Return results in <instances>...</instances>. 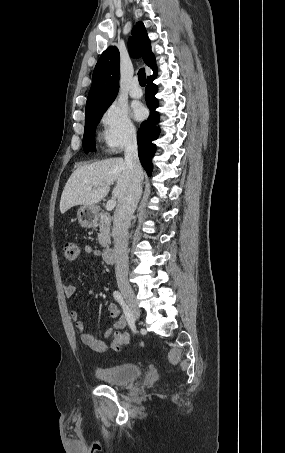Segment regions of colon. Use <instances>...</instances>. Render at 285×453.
<instances>
[{"mask_svg": "<svg viewBox=\"0 0 285 453\" xmlns=\"http://www.w3.org/2000/svg\"><path fill=\"white\" fill-rule=\"evenodd\" d=\"M64 256L68 262L75 261L81 254L80 246L73 240H66L63 244ZM131 342L127 333L115 332L112 341L113 349L117 350Z\"/></svg>", "mask_w": 285, "mask_h": 453, "instance_id": "1", "label": "colon"}]
</instances>
